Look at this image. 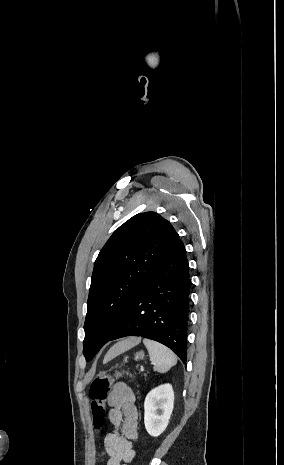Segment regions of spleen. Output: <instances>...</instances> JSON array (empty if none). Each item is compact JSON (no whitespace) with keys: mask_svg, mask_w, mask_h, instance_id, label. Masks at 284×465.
I'll return each instance as SVG.
<instances>
[{"mask_svg":"<svg viewBox=\"0 0 284 465\" xmlns=\"http://www.w3.org/2000/svg\"><path fill=\"white\" fill-rule=\"evenodd\" d=\"M149 355L151 363H155L154 371L157 373H166L169 371L171 367H174L177 363V357L164 347V345H160V343H156V341H150V339H144L143 341Z\"/></svg>","mask_w":284,"mask_h":465,"instance_id":"obj_1","label":"spleen"}]
</instances>
